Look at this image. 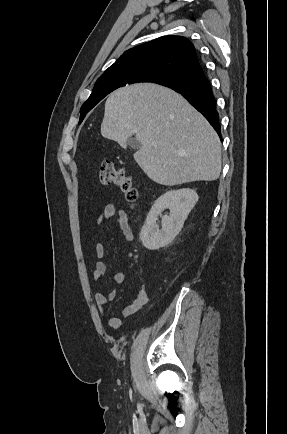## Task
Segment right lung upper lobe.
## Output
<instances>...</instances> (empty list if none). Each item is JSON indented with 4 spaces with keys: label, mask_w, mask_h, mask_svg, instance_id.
I'll return each mask as SVG.
<instances>
[{
    "label": "right lung upper lobe",
    "mask_w": 287,
    "mask_h": 434,
    "mask_svg": "<svg viewBox=\"0 0 287 434\" xmlns=\"http://www.w3.org/2000/svg\"><path fill=\"white\" fill-rule=\"evenodd\" d=\"M199 65L195 47L187 38L163 36L127 50L100 78L148 69L163 70L182 77ZM175 82L169 81L161 85Z\"/></svg>",
    "instance_id": "cb5924a9"
}]
</instances>
